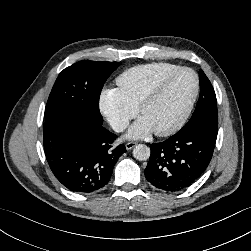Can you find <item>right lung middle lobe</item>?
<instances>
[{
    "mask_svg": "<svg viewBox=\"0 0 251 251\" xmlns=\"http://www.w3.org/2000/svg\"><path fill=\"white\" fill-rule=\"evenodd\" d=\"M119 65L118 62L84 60L65 68L48 98L45 119L78 113L102 124L100 93L107 78Z\"/></svg>",
    "mask_w": 251,
    "mask_h": 251,
    "instance_id": "1",
    "label": "right lung middle lobe"
}]
</instances>
